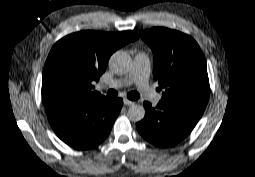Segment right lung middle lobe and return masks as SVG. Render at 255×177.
I'll return each instance as SVG.
<instances>
[{"label": "right lung middle lobe", "mask_w": 255, "mask_h": 177, "mask_svg": "<svg viewBox=\"0 0 255 177\" xmlns=\"http://www.w3.org/2000/svg\"><path fill=\"white\" fill-rule=\"evenodd\" d=\"M74 97V92L71 90H62L59 94H58V100L63 103V102H67L70 101L72 98Z\"/></svg>", "instance_id": "1"}]
</instances>
